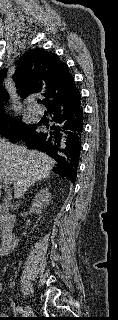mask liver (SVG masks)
<instances>
[{"label": "liver", "mask_w": 118, "mask_h": 320, "mask_svg": "<svg viewBox=\"0 0 118 320\" xmlns=\"http://www.w3.org/2000/svg\"><path fill=\"white\" fill-rule=\"evenodd\" d=\"M54 165L55 161L47 154L0 138V180L12 181L16 199L22 198L36 181L48 177Z\"/></svg>", "instance_id": "obj_1"}]
</instances>
